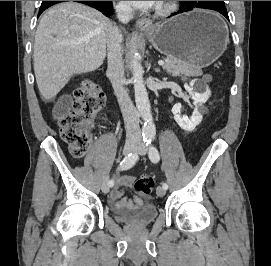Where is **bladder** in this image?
Masks as SVG:
<instances>
[{
	"label": "bladder",
	"mask_w": 271,
	"mask_h": 266,
	"mask_svg": "<svg viewBox=\"0 0 271 266\" xmlns=\"http://www.w3.org/2000/svg\"><path fill=\"white\" fill-rule=\"evenodd\" d=\"M158 211L155 205L147 204L135 212L124 216H116V220L136 227L148 226L157 217Z\"/></svg>",
	"instance_id": "bladder-1"
}]
</instances>
